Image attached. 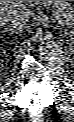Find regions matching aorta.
Masks as SVG:
<instances>
[{"label": "aorta", "mask_w": 74, "mask_h": 122, "mask_svg": "<svg viewBox=\"0 0 74 122\" xmlns=\"http://www.w3.org/2000/svg\"><path fill=\"white\" fill-rule=\"evenodd\" d=\"M39 57L46 63L52 64L62 56L60 47L51 40H43L39 44Z\"/></svg>", "instance_id": "obj_1"}]
</instances>
